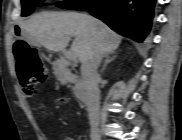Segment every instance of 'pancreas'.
Returning <instances> with one entry per match:
<instances>
[{
    "instance_id": "pancreas-1",
    "label": "pancreas",
    "mask_w": 182,
    "mask_h": 140,
    "mask_svg": "<svg viewBox=\"0 0 182 140\" xmlns=\"http://www.w3.org/2000/svg\"><path fill=\"white\" fill-rule=\"evenodd\" d=\"M69 63L67 61H57L53 64V71L55 77L61 84H66L68 82H74V77L68 68Z\"/></svg>"
}]
</instances>
